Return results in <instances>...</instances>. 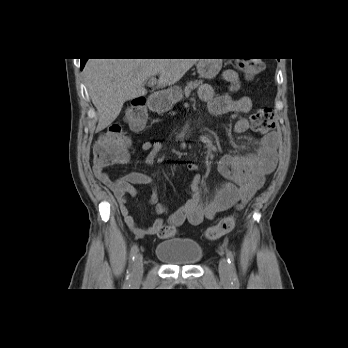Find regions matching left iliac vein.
Returning <instances> with one entry per match:
<instances>
[{"label":"left iliac vein","instance_id":"left-iliac-vein-1","mask_svg":"<svg viewBox=\"0 0 348 348\" xmlns=\"http://www.w3.org/2000/svg\"><path fill=\"white\" fill-rule=\"evenodd\" d=\"M219 276L223 282H228L230 280L229 265L225 258L219 260Z\"/></svg>","mask_w":348,"mask_h":348}]
</instances>
